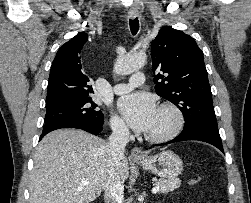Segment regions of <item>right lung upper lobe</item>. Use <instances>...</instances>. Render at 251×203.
<instances>
[{
	"label": "right lung upper lobe",
	"instance_id": "obj_1",
	"mask_svg": "<svg viewBox=\"0 0 251 203\" xmlns=\"http://www.w3.org/2000/svg\"><path fill=\"white\" fill-rule=\"evenodd\" d=\"M88 35L78 33L58 50L50 70L46 108L90 97L94 93L81 65L80 52Z\"/></svg>",
	"mask_w": 251,
	"mask_h": 203
}]
</instances>
